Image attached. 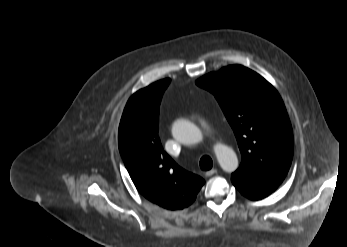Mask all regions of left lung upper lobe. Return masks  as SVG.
Returning a JSON list of instances; mask_svg holds the SVG:
<instances>
[{
  "instance_id": "5c2ea615",
  "label": "left lung upper lobe",
  "mask_w": 347,
  "mask_h": 247,
  "mask_svg": "<svg viewBox=\"0 0 347 247\" xmlns=\"http://www.w3.org/2000/svg\"><path fill=\"white\" fill-rule=\"evenodd\" d=\"M196 84L214 94L237 138L242 162L232 176L280 185L291 165L293 133L276 89L241 65L212 72Z\"/></svg>"
}]
</instances>
